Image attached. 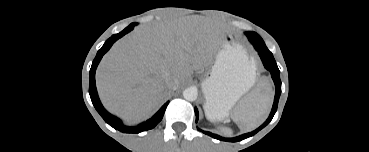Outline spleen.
Wrapping results in <instances>:
<instances>
[{
	"label": "spleen",
	"mask_w": 369,
	"mask_h": 152,
	"mask_svg": "<svg viewBox=\"0 0 369 152\" xmlns=\"http://www.w3.org/2000/svg\"><path fill=\"white\" fill-rule=\"evenodd\" d=\"M272 102L273 92L271 88L261 85L240 101L233 110L231 117L241 129L253 130L267 118Z\"/></svg>",
	"instance_id": "1"
}]
</instances>
